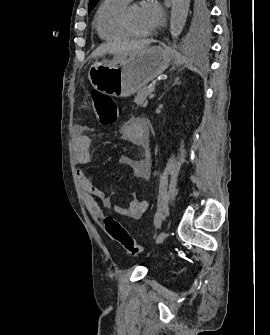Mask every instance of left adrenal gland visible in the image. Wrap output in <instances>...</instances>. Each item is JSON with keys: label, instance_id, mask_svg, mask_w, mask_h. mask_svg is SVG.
Returning <instances> with one entry per match:
<instances>
[{"label": "left adrenal gland", "instance_id": "obj_1", "mask_svg": "<svg viewBox=\"0 0 270 335\" xmlns=\"http://www.w3.org/2000/svg\"><path fill=\"white\" fill-rule=\"evenodd\" d=\"M180 78H175V80H173V84L172 86H176V84H181V82H179ZM171 84V82H170Z\"/></svg>", "mask_w": 270, "mask_h": 335}]
</instances>
